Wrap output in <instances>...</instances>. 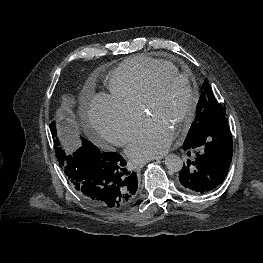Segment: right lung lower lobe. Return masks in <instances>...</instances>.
I'll use <instances>...</instances> for the list:
<instances>
[{"label": "right lung lower lobe", "mask_w": 263, "mask_h": 263, "mask_svg": "<svg viewBox=\"0 0 263 263\" xmlns=\"http://www.w3.org/2000/svg\"><path fill=\"white\" fill-rule=\"evenodd\" d=\"M117 153L97 149L77 152L63 168L76 190L91 205L109 211L122 209L135 197L138 180Z\"/></svg>", "instance_id": "obj_1"}]
</instances>
